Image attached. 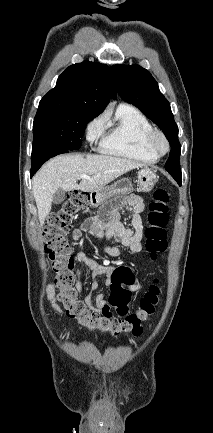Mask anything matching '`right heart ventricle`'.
<instances>
[{
	"instance_id": "obj_1",
	"label": "right heart ventricle",
	"mask_w": 213,
	"mask_h": 433,
	"mask_svg": "<svg viewBox=\"0 0 213 433\" xmlns=\"http://www.w3.org/2000/svg\"><path fill=\"white\" fill-rule=\"evenodd\" d=\"M103 130L99 144L102 153L147 163L158 160V155L147 145L153 127L133 106L120 104L114 118L104 120Z\"/></svg>"
}]
</instances>
